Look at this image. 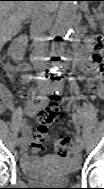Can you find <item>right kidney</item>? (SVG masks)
<instances>
[{"label": "right kidney", "mask_w": 104, "mask_h": 189, "mask_svg": "<svg viewBox=\"0 0 104 189\" xmlns=\"http://www.w3.org/2000/svg\"><path fill=\"white\" fill-rule=\"evenodd\" d=\"M27 42L28 40L26 35H20L12 41L8 49V55L12 58L13 61L18 62L23 59L27 47Z\"/></svg>", "instance_id": "obj_1"}]
</instances>
